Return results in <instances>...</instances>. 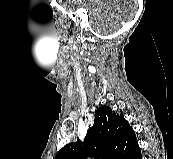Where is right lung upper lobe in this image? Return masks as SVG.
<instances>
[{
    "label": "right lung upper lobe",
    "instance_id": "cb5924a9",
    "mask_svg": "<svg viewBox=\"0 0 173 159\" xmlns=\"http://www.w3.org/2000/svg\"><path fill=\"white\" fill-rule=\"evenodd\" d=\"M135 132L123 115H116L110 107L95 112L94 125L87 131L83 147L81 141L65 145L55 159H127L139 150Z\"/></svg>",
    "mask_w": 173,
    "mask_h": 159
}]
</instances>
